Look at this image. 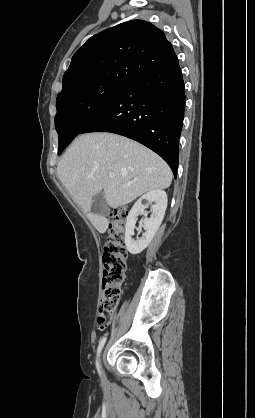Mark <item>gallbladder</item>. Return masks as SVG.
Listing matches in <instances>:
<instances>
[{
  "instance_id": "bac80fb5",
  "label": "gallbladder",
  "mask_w": 255,
  "mask_h": 418,
  "mask_svg": "<svg viewBox=\"0 0 255 418\" xmlns=\"http://www.w3.org/2000/svg\"><path fill=\"white\" fill-rule=\"evenodd\" d=\"M91 212L93 214H98L102 216H105L107 214L108 205L103 191L99 192L94 196L91 205Z\"/></svg>"
}]
</instances>
